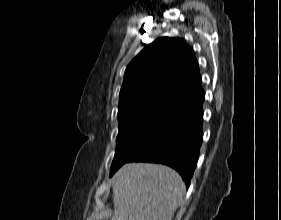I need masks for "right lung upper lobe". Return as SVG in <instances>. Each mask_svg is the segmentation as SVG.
<instances>
[{"label":"right lung upper lobe","instance_id":"cb5924a9","mask_svg":"<svg viewBox=\"0 0 281 220\" xmlns=\"http://www.w3.org/2000/svg\"><path fill=\"white\" fill-rule=\"evenodd\" d=\"M194 51L181 38H158L127 66L118 119L171 117L204 93Z\"/></svg>","mask_w":281,"mask_h":220}]
</instances>
